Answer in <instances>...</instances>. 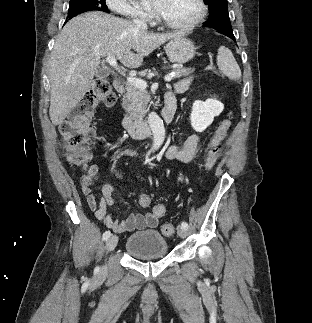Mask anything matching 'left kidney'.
<instances>
[{"instance_id": "obj_1", "label": "left kidney", "mask_w": 312, "mask_h": 323, "mask_svg": "<svg viewBox=\"0 0 312 323\" xmlns=\"http://www.w3.org/2000/svg\"><path fill=\"white\" fill-rule=\"evenodd\" d=\"M224 106L218 100H195L190 114L191 126L195 132H204L208 126H211L215 116L223 112Z\"/></svg>"}]
</instances>
